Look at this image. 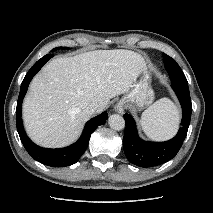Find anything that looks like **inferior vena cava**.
Segmentation results:
<instances>
[{
	"label": "inferior vena cava",
	"mask_w": 213,
	"mask_h": 213,
	"mask_svg": "<svg viewBox=\"0 0 213 213\" xmlns=\"http://www.w3.org/2000/svg\"><path fill=\"white\" fill-rule=\"evenodd\" d=\"M100 111V107L97 103H91L86 107V112L90 115Z\"/></svg>",
	"instance_id": "1"
}]
</instances>
